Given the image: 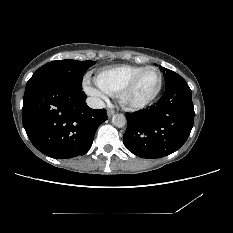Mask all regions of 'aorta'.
<instances>
[{
	"mask_svg": "<svg viewBox=\"0 0 233 233\" xmlns=\"http://www.w3.org/2000/svg\"><path fill=\"white\" fill-rule=\"evenodd\" d=\"M112 123L116 127H123L126 124V117L123 114H115L112 117Z\"/></svg>",
	"mask_w": 233,
	"mask_h": 233,
	"instance_id": "762f6f07",
	"label": "aorta"
}]
</instances>
